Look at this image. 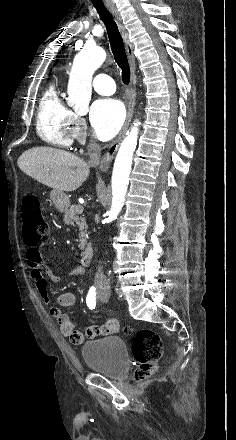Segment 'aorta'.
<instances>
[{"label":"aorta","mask_w":236,"mask_h":440,"mask_svg":"<svg viewBox=\"0 0 236 440\" xmlns=\"http://www.w3.org/2000/svg\"><path fill=\"white\" fill-rule=\"evenodd\" d=\"M106 59L105 51L97 46H85L75 57L69 74L68 105L76 112L85 113L92 94V76ZM140 122L134 121L122 141L112 172V204L107 221H114L120 213L129 184L133 154L137 146Z\"/></svg>","instance_id":"obj_1"}]
</instances>
